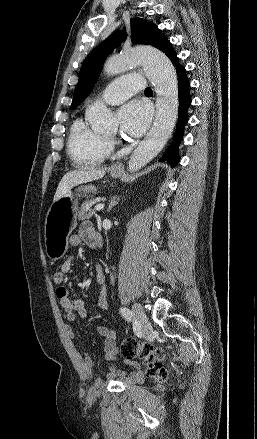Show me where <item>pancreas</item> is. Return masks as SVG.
<instances>
[{
    "label": "pancreas",
    "mask_w": 257,
    "mask_h": 439,
    "mask_svg": "<svg viewBox=\"0 0 257 439\" xmlns=\"http://www.w3.org/2000/svg\"><path fill=\"white\" fill-rule=\"evenodd\" d=\"M98 199H90L86 200L80 207V210L78 211V219L79 220H85L89 219L93 216L94 210L90 208V206L97 202Z\"/></svg>",
    "instance_id": "obj_1"
}]
</instances>
